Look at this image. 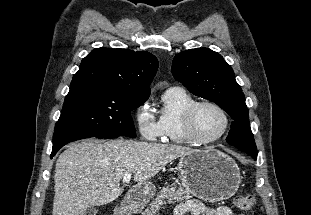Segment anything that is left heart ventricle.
Listing matches in <instances>:
<instances>
[{
  "instance_id": "b2bd125f",
  "label": "left heart ventricle",
  "mask_w": 311,
  "mask_h": 215,
  "mask_svg": "<svg viewBox=\"0 0 311 215\" xmlns=\"http://www.w3.org/2000/svg\"><path fill=\"white\" fill-rule=\"evenodd\" d=\"M224 120L218 110L210 106L201 107L195 117V129L202 138H211L223 128Z\"/></svg>"
}]
</instances>
